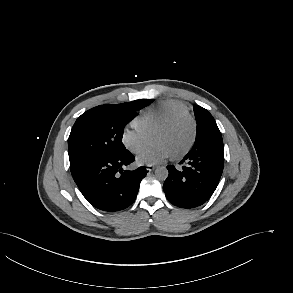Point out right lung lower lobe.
<instances>
[{
  "label": "right lung lower lobe",
  "mask_w": 293,
  "mask_h": 293,
  "mask_svg": "<svg viewBox=\"0 0 293 293\" xmlns=\"http://www.w3.org/2000/svg\"><path fill=\"white\" fill-rule=\"evenodd\" d=\"M134 160L128 150L118 152L88 163L72 176L92 206L108 212L120 211L135 201L140 182L148 172L144 167L123 171L122 167Z\"/></svg>",
  "instance_id": "right-lung-lower-lobe-1"
}]
</instances>
